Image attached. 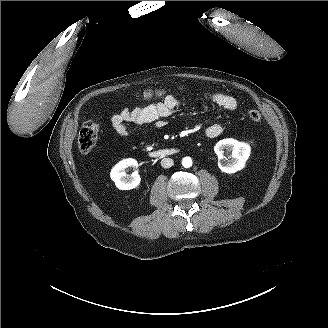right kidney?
Wrapping results in <instances>:
<instances>
[{
    "label": "right kidney",
    "mask_w": 328,
    "mask_h": 328,
    "mask_svg": "<svg viewBox=\"0 0 328 328\" xmlns=\"http://www.w3.org/2000/svg\"><path fill=\"white\" fill-rule=\"evenodd\" d=\"M129 167H138V162L135 159L128 158L120 161L112 168L110 177L118 189L129 190L139 185L140 176L138 171H134L130 177L127 176L125 170Z\"/></svg>",
    "instance_id": "obj_1"
}]
</instances>
